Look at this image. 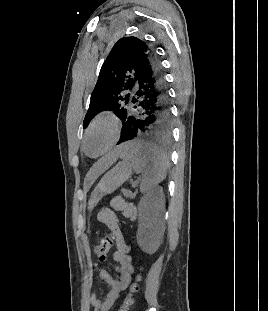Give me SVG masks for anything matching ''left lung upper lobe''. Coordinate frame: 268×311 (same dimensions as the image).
I'll return each mask as SVG.
<instances>
[{"instance_id":"5c2ea615","label":"left lung upper lobe","mask_w":268,"mask_h":311,"mask_svg":"<svg viewBox=\"0 0 268 311\" xmlns=\"http://www.w3.org/2000/svg\"><path fill=\"white\" fill-rule=\"evenodd\" d=\"M151 53L148 44L136 37H124L116 42L102 65L91 94L84 128L95 115L104 110L113 111L122 124L125 122L131 109V97L136 86L139 65Z\"/></svg>"}]
</instances>
